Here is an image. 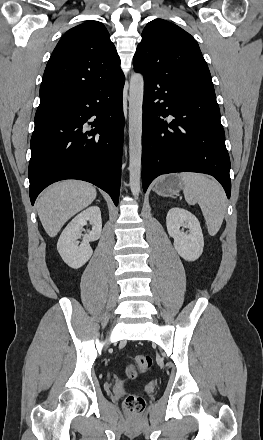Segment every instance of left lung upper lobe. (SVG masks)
Masks as SVG:
<instances>
[{
  "mask_svg": "<svg viewBox=\"0 0 263 440\" xmlns=\"http://www.w3.org/2000/svg\"><path fill=\"white\" fill-rule=\"evenodd\" d=\"M134 69L173 77L186 86L215 94L211 75L197 41L163 19L150 21L133 58Z\"/></svg>",
  "mask_w": 263,
  "mask_h": 440,
  "instance_id": "1",
  "label": "left lung upper lobe"
}]
</instances>
